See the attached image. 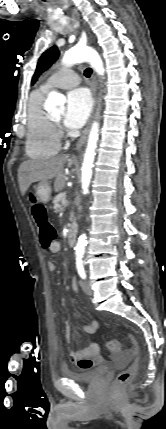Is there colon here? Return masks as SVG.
Masks as SVG:
<instances>
[{"label": "colon", "mask_w": 166, "mask_h": 429, "mask_svg": "<svg viewBox=\"0 0 166 429\" xmlns=\"http://www.w3.org/2000/svg\"><path fill=\"white\" fill-rule=\"evenodd\" d=\"M31 211L33 218L39 228L41 245L45 249H48L51 244L55 242L57 237V231L49 222L47 210L42 204L34 202L32 204ZM107 346L112 352H119L122 349V344L117 339L109 341ZM134 353H137L136 349L134 350ZM137 368L138 362L136 360L127 369L120 372L114 380V388L120 390L126 387L135 377L137 373Z\"/></svg>", "instance_id": "5ec220e1"}]
</instances>
